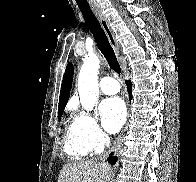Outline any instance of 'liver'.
I'll use <instances>...</instances> for the list:
<instances>
[{
  "instance_id": "obj_1",
  "label": "liver",
  "mask_w": 196,
  "mask_h": 182,
  "mask_svg": "<svg viewBox=\"0 0 196 182\" xmlns=\"http://www.w3.org/2000/svg\"><path fill=\"white\" fill-rule=\"evenodd\" d=\"M111 167L94 160L68 163L60 171L57 182H108Z\"/></svg>"
}]
</instances>
